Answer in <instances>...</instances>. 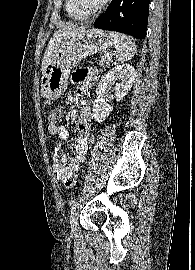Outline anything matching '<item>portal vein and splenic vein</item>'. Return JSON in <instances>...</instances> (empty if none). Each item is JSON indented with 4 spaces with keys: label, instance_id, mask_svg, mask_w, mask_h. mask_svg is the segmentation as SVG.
Returning <instances> with one entry per match:
<instances>
[{
    "label": "portal vein and splenic vein",
    "instance_id": "portal-vein-and-splenic-vein-1",
    "mask_svg": "<svg viewBox=\"0 0 195 270\" xmlns=\"http://www.w3.org/2000/svg\"><path fill=\"white\" fill-rule=\"evenodd\" d=\"M112 55L111 54H107V57L110 58Z\"/></svg>",
    "mask_w": 195,
    "mask_h": 270
}]
</instances>
